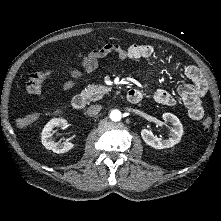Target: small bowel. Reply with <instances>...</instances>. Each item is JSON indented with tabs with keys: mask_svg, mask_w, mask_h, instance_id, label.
Listing matches in <instances>:
<instances>
[{
	"mask_svg": "<svg viewBox=\"0 0 221 221\" xmlns=\"http://www.w3.org/2000/svg\"><path fill=\"white\" fill-rule=\"evenodd\" d=\"M112 53L116 54L121 61L138 60L152 58L156 53V49L151 45L133 44L123 47L120 44L109 43L87 54H81L79 55V60L82 70L72 68L66 70L69 79L64 84V90L72 89L84 75L90 74L97 69L99 59ZM184 73L190 83L181 84L178 88V95L189 117L198 121L203 118L205 113L202 98L207 92V82L200 70L195 66H187ZM132 90H135L140 95L141 100L143 92L138 89ZM152 97L157 103L165 106H174L176 104V99L164 90H155L152 93Z\"/></svg>",
	"mask_w": 221,
	"mask_h": 221,
	"instance_id": "small-bowel-1",
	"label": "small bowel"
}]
</instances>
